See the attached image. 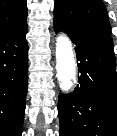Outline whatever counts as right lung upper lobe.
I'll return each instance as SVG.
<instances>
[{
	"instance_id": "obj_1",
	"label": "right lung upper lobe",
	"mask_w": 117,
	"mask_h": 136,
	"mask_svg": "<svg viewBox=\"0 0 117 136\" xmlns=\"http://www.w3.org/2000/svg\"><path fill=\"white\" fill-rule=\"evenodd\" d=\"M27 26L26 0H0V39Z\"/></svg>"
}]
</instances>
